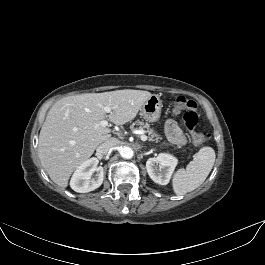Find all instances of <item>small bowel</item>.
<instances>
[{"mask_svg":"<svg viewBox=\"0 0 265 265\" xmlns=\"http://www.w3.org/2000/svg\"><path fill=\"white\" fill-rule=\"evenodd\" d=\"M166 134L168 139L179 146L186 143V137L184 136L182 130L179 128L177 121L175 119H170L167 121L165 126Z\"/></svg>","mask_w":265,"mask_h":265,"instance_id":"1","label":"small bowel"}]
</instances>
